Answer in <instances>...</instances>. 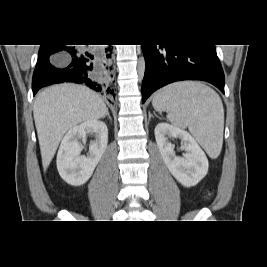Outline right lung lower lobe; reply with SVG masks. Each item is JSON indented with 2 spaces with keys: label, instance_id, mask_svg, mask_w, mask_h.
I'll use <instances>...</instances> for the list:
<instances>
[{
  "label": "right lung lower lobe",
  "instance_id": "1",
  "mask_svg": "<svg viewBox=\"0 0 267 267\" xmlns=\"http://www.w3.org/2000/svg\"><path fill=\"white\" fill-rule=\"evenodd\" d=\"M111 51L110 47L92 50L64 45H40L32 79L33 95L42 87L71 82L115 97L109 74Z\"/></svg>",
  "mask_w": 267,
  "mask_h": 267
}]
</instances>
